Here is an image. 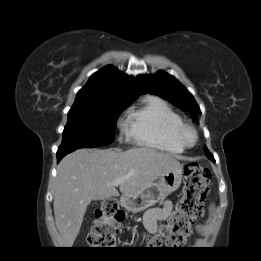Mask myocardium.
<instances>
[{"mask_svg":"<svg viewBox=\"0 0 261 261\" xmlns=\"http://www.w3.org/2000/svg\"><path fill=\"white\" fill-rule=\"evenodd\" d=\"M178 136L184 147H193L198 141V134L196 129L189 124L182 123L178 132Z\"/></svg>","mask_w":261,"mask_h":261,"instance_id":"obj_1","label":"myocardium"}]
</instances>
